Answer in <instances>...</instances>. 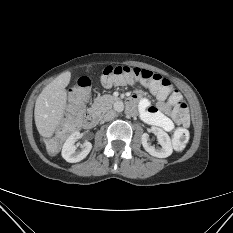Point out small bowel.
I'll return each instance as SVG.
<instances>
[{
	"instance_id": "c3829d8e",
	"label": "small bowel",
	"mask_w": 233,
	"mask_h": 233,
	"mask_svg": "<svg viewBox=\"0 0 233 233\" xmlns=\"http://www.w3.org/2000/svg\"><path fill=\"white\" fill-rule=\"evenodd\" d=\"M135 98L138 100L140 115L146 123L165 131L174 129V122L170 118L172 107L168 102L159 99L157 105L152 106L145 96L138 95Z\"/></svg>"
}]
</instances>
